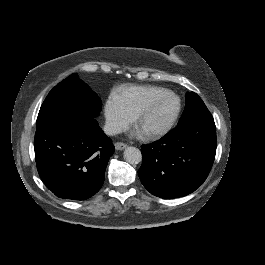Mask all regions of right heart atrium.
<instances>
[{"label":"right heart atrium","mask_w":265,"mask_h":265,"mask_svg":"<svg viewBox=\"0 0 265 265\" xmlns=\"http://www.w3.org/2000/svg\"><path fill=\"white\" fill-rule=\"evenodd\" d=\"M104 120L107 131L111 134H116L131 126L134 119L122 112L117 104L111 101L105 106Z\"/></svg>","instance_id":"obj_1"}]
</instances>
